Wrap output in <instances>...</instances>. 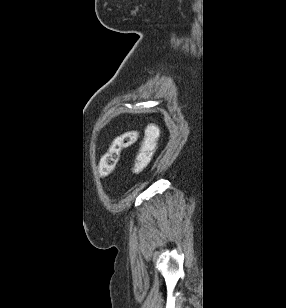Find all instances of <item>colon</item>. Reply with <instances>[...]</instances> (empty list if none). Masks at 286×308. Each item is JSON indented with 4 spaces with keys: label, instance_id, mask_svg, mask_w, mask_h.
<instances>
[{
    "label": "colon",
    "instance_id": "colon-1",
    "mask_svg": "<svg viewBox=\"0 0 286 308\" xmlns=\"http://www.w3.org/2000/svg\"><path fill=\"white\" fill-rule=\"evenodd\" d=\"M138 138V130H130L117 136L99 162V174L103 177L109 175L115 169L122 150L133 146ZM155 143L152 138L143 140L134 158L132 166L133 175L138 176L142 174L148 167L153 157Z\"/></svg>",
    "mask_w": 286,
    "mask_h": 308
}]
</instances>
